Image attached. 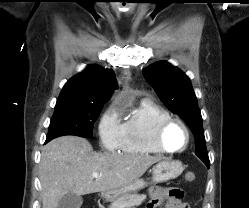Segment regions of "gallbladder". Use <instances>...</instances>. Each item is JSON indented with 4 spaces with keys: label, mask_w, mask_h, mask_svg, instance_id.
Segmentation results:
<instances>
[{
    "label": "gallbladder",
    "mask_w": 249,
    "mask_h": 208,
    "mask_svg": "<svg viewBox=\"0 0 249 208\" xmlns=\"http://www.w3.org/2000/svg\"><path fill=\"white\" fill-rule=\"evenodd\" d=\"M82 202L83 199L80 195H77L73 192H68L60 199L58 208H80Z\"/></svg>",
    "instance_id": "bac80fb5"
}]
</instances>
